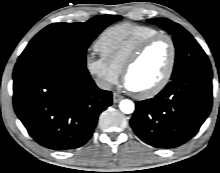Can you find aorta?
Listing matches in <instances>:
<instances>
[{"mask_svg":"<svg viewBox=\"0 0 220 173\" xmlns=\"http://www.w3.org/2000/svg\"><path fill=\"white\" fill-rule=\"evenodd\" d=\"M120 110L125 114H131L134 112L135 106L131 100L124 99L119 104Z\"/></svg>","mask_w":220,"mask_h":173,"instance_id":"obj_1","label":"aorta"}]
</instances>
